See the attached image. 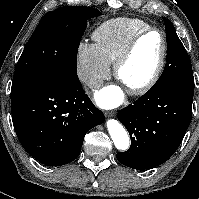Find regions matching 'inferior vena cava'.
I'll use <instances>...</instances> for the list:
<instances>
[{
  "label": "inferior vena cava",
  "mask_w": 199,
  "mask_h": 199,
  "mask_svg": "<svg viewBox=\"0 0 199 199\" xmlns=\"http://www.w3.org/2000/svg\"><path fill=\"white\" fill-rule=\"evenodd\" d=\"M86 83L90 88H100L103 85L102 79L95 77L89 78Z\"/></svg>",
  "instance_id": "inferior-vena-cava-1"
}]
</instances>
